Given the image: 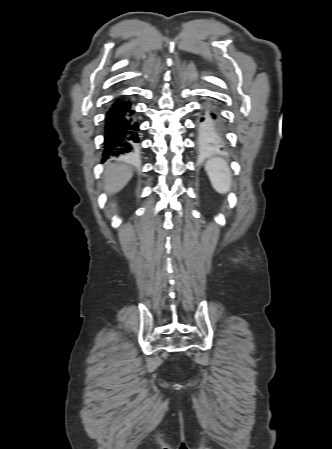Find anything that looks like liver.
<instances>
[{
    "label": "liver",
    "mask_w": 332,
    "mask_h": 449,
    "mask_svg": "<svg viewBox=\"0 0 332 449\" xmlns=\"http://www.w3.org/2000/svg\"><path fill=\"white\" fill-rule=\"evenodd\" d=\"M133 173L130 166L124 163H107L104 173V189L108 194L120 191L131 179Z\"/></svg>",
    "instance_id": "1"
}]
</instances>
